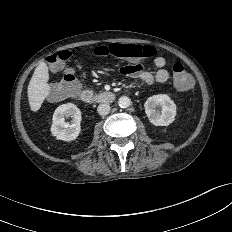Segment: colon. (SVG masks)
I'll return each instance as SVG.
<instances>
[{
    "instance_id": "obj_1",
    "label": "colon",
    "mask_w": 232,
    "mask_h": 232,
    "mask_svg": "<svg viewBox=\"0 0 232 232\" xmlns=\"http://www.w3.org/2000/svg\"><path fill=\"white\" fill-rule=\"evenodd\" d=\"M155 53V48L149 45L123 43L102 45L93 50V54L98 57L113 56L132 62L133 64L127 65L129 67H138L140 61L153 57ZM70 57L71 52L63 50L49 55L46 61L51 67L56 68L68 61ZM173 82L174 86L179 91H187L193 85V80L190 74L180 63H175L173 65ZM79 87L80 83L75 70L68 68L63 79L51 88L50 97L55 100L66 98L75 94L79 90Z\"/></svg>"
}]
</instances>
